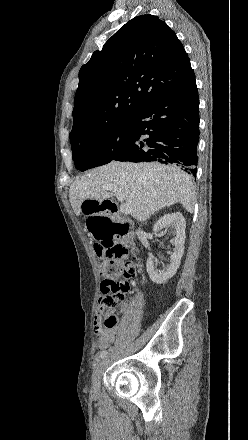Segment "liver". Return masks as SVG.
<instances>
[{"label":"liver","instance_id":"obj_1","mask_svg":"<svg viewBox=\"0 0 248 440\" xmlns=\"http://www.w3.org/2000/svg\"><path fill=\"white\" fill-rule=\"evenodd\" d=\"M117 187L131 215L142 222L158 210L181 203L194 210L195 191L192 178L180 168L160 163L111 162L90 170L72 183L71 206L78 216L85 200L102 202L111 197L106 187Z\"/></svg>","mask_w":248,"mask_h":440}]
</instances>
